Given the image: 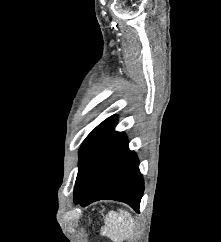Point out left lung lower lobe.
<instances>
[{
  "label": "left lung lower lobe",
  "mask_w": 221,
  "mask_h": 242,
  "mask_svg": "<svg viewBox=\"0 0 221 242\" xmlns=\"http://www.w3.org/2000/svg\"><path fill=\"white\" fill-rule=\"evenodd\" d=\"M144 181L137 156L124 133L111 129L79 166L74 203L81 206L100 199L122 201L139 211Z\"/></svg>",
  "instance_id": "1"
}]
</instances>
